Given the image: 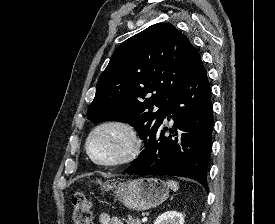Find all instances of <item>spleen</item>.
Here are the masks:
<instances>
[{
  "label": "spleen",
  "mask_w": 275,
  "mask_h": 224,
  "mask_svg": "<svg viewBox=\"0 0 275 224\" xmlns=\"http://www.w3.org/2000/svg\"><path fill=\"white\" fill-rule=\"evenodd\" d=\"M168 187H170L171 190L177 191L179 189V184L176 181H167Z\"/></svg>",
  "instance_id": "spleen-1"
}]
</instances>
